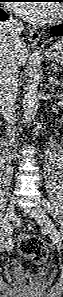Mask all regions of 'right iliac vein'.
<instances>
[{"label": "right iliac vein", "instance_id": "63e3f726", "mask_svg": "<svg viewBox=\"0 0 63 297\" xmlns=\"http://www.w3.org/2000/svg\"><path fill=\"white\" fill-rule=\"evenodd\" d=\"M14 217V201H11L7 210H6V214L4 217V222H3V229H5L11 222V220ZM13 247V242L11 240V238H8V240L6 241L5 244V248L7 249V251L11 250Z\"/></svg>", "mask_w": 63, "mask_h": 297}]
</instances>
